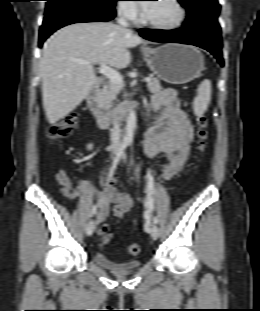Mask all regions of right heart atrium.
Listing matches in <instances>:
<instances>
[{"instance_id":"right-heart-atrium-1","label":"right heart atrium","mask_w":260,"mask_h":311,"mask_svg":"<svg viewBox=\"0 0 260 311\" xmlns=\"http://www.w3.org/2000/svg\"><path fill=\"white\" fill-rule=\"evenodd\" d=\"M131 1L121 0L118 5L119 14L129 21H136L140 17V10L136 4Z\"/></svg>"}]
</instances>
